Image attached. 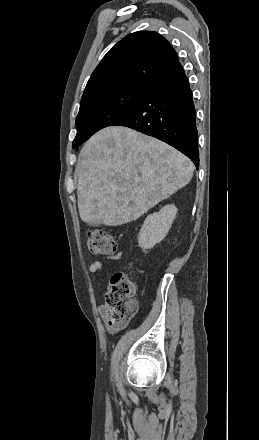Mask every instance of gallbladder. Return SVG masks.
Returning a JSON list of instances; mask_svg holds the SVG:
<instances>
[{
	"instance_id": "1",
	"label": "gallbladder",
	"mask_w": 259,
	"mask_h": 440,
	"mask_svg": "<svg viewBox=\"0 0 259 440\" xmlns=\"http://www.w3.org/2000/svg\"><path fill=\"white\" fill-rule=\"evenodd\" d=\"M88 225H89V226L97 227V226H100V225H102V224H101V223H98V222H88Z\"/></svg>"
}]
</instances>
